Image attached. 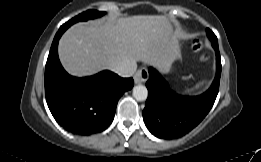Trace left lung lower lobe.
<instances>
[{
  "label": "left lung lower lobe",
  "instance_id": "obj_1",
  "mask_svg": "<svg viewBox=\"0 0 261 162\" xmlns=\"http://www.w3.org/2000/svg\"><path fill=\"white\" fill-rule=\"evenodd\" d=\"M216 52V76L211 87L199 96H182L173 92L163 77L152 67L146 82L148 98L142 112L148 130L158 138H180L195 128L212 108L219 90L221 60L218 42H212Z\"/></svg>",
  "mask_w": 261,
  "mask_h": 162
}]
</instances>
